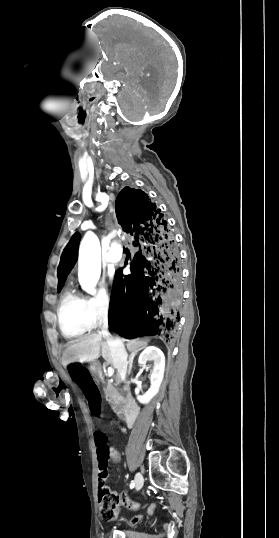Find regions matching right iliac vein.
I'll list each match as a JSON object with an SVG mask.
<instances>
[{
  "label": "right iliac vein",
  "instance_id": "1",
  "mask_svg": "<svg viewBox=\"0 0 279 538\" xmlns=\"http://www.w3.org/2000/svg\"><path fill=\"white\" fill-rule=\"evenodd\" d=\"M143 486V476L141 473H137L135 475V487H136V490H140Z\"/></svg>",
  "mask_w": 279,
  "mask_h": 538
}]
</instances>
